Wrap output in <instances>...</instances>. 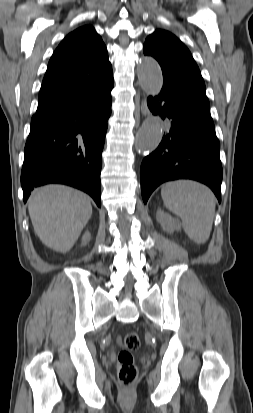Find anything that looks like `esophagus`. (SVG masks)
Here are the masks:
<instances>
[{"label":"esophagus","mask_w":253,"mask_h":413,"mask_svg":"<svg viewBox=\"0 0 253 413\" xmlns=\"http://www.w3.org/2000/svg\"><path fill=\"white\" fill-rule=\"evenodd\" d=\"M140 110L143 116H146L149 114V110L146 104L145 100H142L141 104H140Z\"/></svg>","instance_id":"1"}]
</instances>
